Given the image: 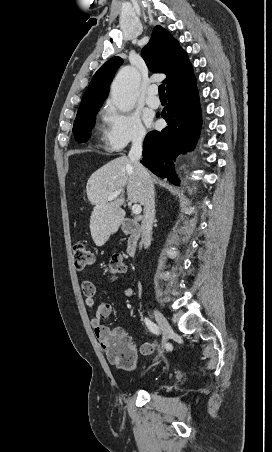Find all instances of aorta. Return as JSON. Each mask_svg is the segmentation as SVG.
Here are the masks:
<instances>
[{
	"label": "aorta",
	"mask_w": 272,
	"mask_h": 452,
	"mask_svg": "<svg viewBox=\"0 0 272 452\" xmlns=\"http://www.w3.org/2000/svg\"><path fill=\"white\" fill-rule=\"evenodd\" d=\"M140 77L133 67L122 68L111 85V101L121 112L134 108L139 90Z\"/></svg>",
	"instance_id": "762f6f07"
}]
</instances>
